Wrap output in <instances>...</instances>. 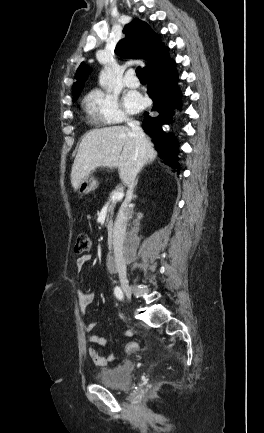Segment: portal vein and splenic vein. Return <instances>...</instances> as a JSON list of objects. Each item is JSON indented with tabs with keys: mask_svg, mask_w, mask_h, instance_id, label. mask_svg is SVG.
Segmentation results:
<instances>
[{
	"mask_svg": "<svg viewBox=\"0 0 264 433\" xmlns=\"http://www.w3.org/2000/svg\"><path fill=\"white\" fill-rule=\"evenodd\" d=\"M123 197H124V193L122 191H117L112 195L111 200L112 201H119V200H122Z\"/></svg>",
	"mask_w": 264,
	"mask_h": 433,
	"instance_id": "obj_1",
	"label": "portal vein and splenic vein"
}]
</instances>
